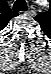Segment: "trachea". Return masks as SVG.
<instances>
[{"instance_id":"3493384b","label":"trachea","mask_w":51,"mask_h":74,"mask_svg":"<svg viewBox=\"0 0 51 74\" xmlns=\"http://www.w3.org/2000/svg\"><path fill=\"white\" fill-rule=\"evenodd\" d=\"M27 3L24 0H17L13 5L14 11H26L27 10Z\"/></svg>"}]
</instances>
